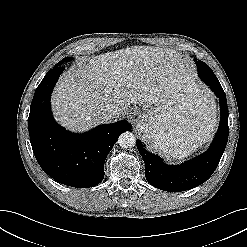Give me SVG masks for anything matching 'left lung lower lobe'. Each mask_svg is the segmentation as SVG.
Here are the masks:
<instances>
[{"label":"left lung lower lobe","mask_w":247,"mask_h":247,"mask_svg":"<svg viewBox=\"0 0 247 247\" xmlns=\"http://www.w3.org/2000/svg\"><path fill=\"white\" fill-rule=\"evenodd\" d=\"M198 75L220 99V125L210 148L202 155L182 165H166L158 156L148 152L137 140V148L146 165V179L154 187L164 191L181 192L204 183L215 171L225 150L229 128L226 96L212 69L202 61H196Z\"/></svg>","instance_id":"0a47b994"}]
</instances>
